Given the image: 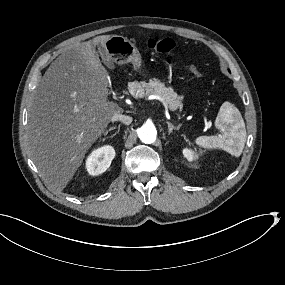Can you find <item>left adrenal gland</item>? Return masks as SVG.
<instances>
[{
    "label": "left adrenal gland",
    "mask_w": 285,
    "mask_h": 285,
    "mask_svg": "<svg viewBox=\"0 0 285 285\" xmlns=\"http://www.w3.org/2000/svg\"><path fill=\"white\" fill-rule=\"evenodd\" d=\"M168 125V134H171L173 130H179L181 127V124H179L177 127H175L171 122L166 121Z\"/></svg>",
    "instance_id": "left-adrenal-gland-1"
}]
</instances>
